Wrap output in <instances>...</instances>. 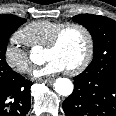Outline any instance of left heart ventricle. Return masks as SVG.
<instances>
[{
    "instance_id": "obj_1",
    "label": "left heart ventricle",
    "mask_w": 116,
    "mask_h": 116,
    "mask_svg": "<svg viewBox=\"0 0 116 116\" xmlns=\"http://www.w3.org/2000/svg\"><path fill=\"white\" fill-rule=\"evenodd\" d=\"M87 50V39L85 34L77 29L70 28L62 36L59 45L52 50H44V59H56L60 61L65 69H70L79 64Z\"/></svg>"
}]
</instances>
